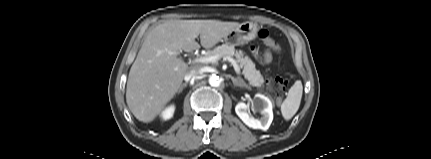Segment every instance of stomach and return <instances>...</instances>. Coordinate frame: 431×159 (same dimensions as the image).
<instances>
[{
	"mask_svg": "<svg viewBox=\"0 0 431 159\" xmlns=\"http://www.w3.org/2000/svg\"><path fill=\"white\" fill-rule=\"evenodd\" d=\"M258 30L259 28L256 23L244 22L235 29L231 30L224 37V41L227 45L238 46L253 40L257 36Z\"/></svg>",
	"mask_w": 431,
	"mask_h": 159,
	"instance_id": "0dacf381",
	"label": "stomach"
}]
</instances>
